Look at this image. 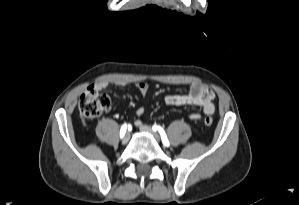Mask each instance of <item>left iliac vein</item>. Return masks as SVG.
<instances>
[{"label":"left iliac vein","mask_w":299,"mask_h":205,"mask_svg":"<svg viewBox=\"0 0 299 205\" xmlns=\"http://www.w3.org/2000/svg\"><path fill=\"white\" fill-rule=\"evenodd\" d=\"M140 130L142 132H146V133L151 134L157 141H160L159 136L149 126H147V125H141L140 126Z\"/></svg>","instance_id":"obj_1"}]
</instances>
